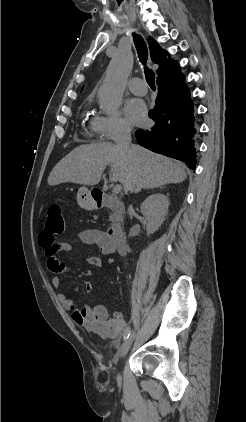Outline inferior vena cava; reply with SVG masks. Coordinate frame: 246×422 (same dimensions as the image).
<instances>
[{
  "instance_id": "602c4592",
  "label": "inferior vena cava",
  "mask_w": 246,
  "mask_h": 422,
  "mask_svg": "<svg viewBox=\"0 0 246 422\" xmlns=\"http://www.w3.org/2000/svg\"><path fill=\"white\" fill-rule=\"evenodd\" d=\"M116 145L121 149L122 152L132 155V145H131V128L129 126H124L118 135L115 138ZM128 191L133 192L135 190L133 177H130L128 184Z\"/></svg>"
}]
</instances>
